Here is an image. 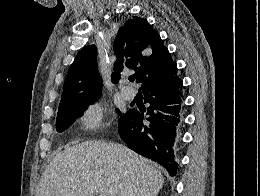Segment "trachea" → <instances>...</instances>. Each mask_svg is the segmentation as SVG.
Returning a JSON list of instances; mask_svg holds the SVG:
<instances>
[{
	"label": "trachea",
	"mask_w": 260,
	"mask_h": 196,
	"mask_svg": "<svg viewBox=\"0 0 260 196\" xmlns=\"http://www.w3.org/2000/svg\"><path fill=\"white\" fill-rule=\"evenodd\" d=\"M129 81H135V79H136V76L135 75H131V76H129Z\"/></svg>",
	"instance_id": "3493384b"
}]
</instances>
